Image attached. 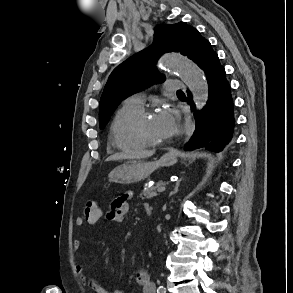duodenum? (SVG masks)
Returning a JSON list of instances; mask_svg holds the SVG:
<instances>
[{
    "instance_id": "obj_1",
    "label": "duodenum",
    "mask_w": 293,
    "mask_h": 293,
    "mask_svg": "<svg viewBox=\"0 0 293 293\" xmlns=\"http://www.w3.org/2000/svg\"><path fill=\"white\" fill-rule=\"evenodd\" d=\"M145 212H146L147 215L152 214V207H151V206H147V207L145 208Z\"/></svg>"
}]
</instances>
